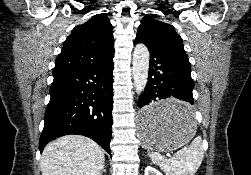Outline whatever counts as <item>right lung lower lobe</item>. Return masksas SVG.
<instances>
[{
    "label": "right lung lower lobe",
    "mask_w": 251,
    "mask_h": 175,
    "mask_svg": "<svg viewBox=\"0 0 251 175\" xmlns=\"http://www.w3.org/2000/svg\"><path fill=\"white\" fill-rule=\"evenodd\" d=\"M113 66L111 60L103 66L53 76L40 152L57 137L78 134L93 139L111 154Z\"/></svg>",
    "instance_id": "98d812e1"
}]
</instances>
